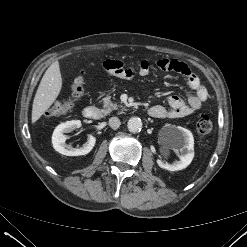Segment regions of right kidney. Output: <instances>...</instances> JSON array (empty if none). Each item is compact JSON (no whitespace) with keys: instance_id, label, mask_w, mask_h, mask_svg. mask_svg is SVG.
Segmentation results:
<instances>
[{"instance_id":"obj_1","label":"right kidney","mask_w":247,"mask_h":247,"mask_svg":"<svg viewBox=\"0 0 247 247\" xmlns=\"http://www.w3.org/2000/svg\"><path fill=\"white\" fill-rule=\"evenodd\" d=\"M82 123L80 120L67 121L65 123L59 124L52 135V144L54 149L66 156H81L88 154L96 143V138L89 135V139L80 148H73L71 145H66L65 141L67 139L64 133H69L76 128H80Z\"/></svg>"}]
</instances>
